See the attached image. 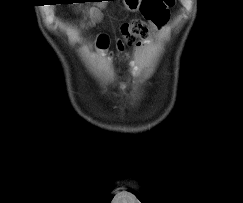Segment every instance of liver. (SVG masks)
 Masks as SVG:
<instances>
[{"label":"liver","instance_id":"obj_1","mask_svg":"<svg viewBox=\"0 0 243 203\" xmlns=\"http://www.w3.org/2000/svg\"><path fill=\"white\" fill-rule=\"evenodd\" d=\"M99 6L102 7V6H104V4L103 3H100Z\"/></svg>","mask_w":243,"mask_h":203}]
</instances>
